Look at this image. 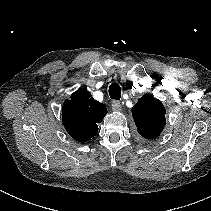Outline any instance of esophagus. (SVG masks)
Instances as JSON below:
<instances>
[{
	"label": "esophagus",
	"mask_w": 211,
	"mask_h": 211,
	"mask_svg": "<svg viewBox=\"0 0 211 211\" xmlns=\"http://www.w3.org/2000/svg\"><path fill=\"white\" fill-rule=\"evenodd\" d=\"M121 103L119 102V101H116V100H114V101H112V109L114 110V111H119V110H121Z\"/></svg>",
	"instance_id": "34e87169"
}]
</instances>
